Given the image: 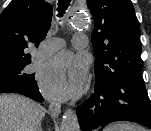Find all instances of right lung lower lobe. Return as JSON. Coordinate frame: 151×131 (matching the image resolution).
Instances as JSON below:
<instances>
[{
  "label": "right lung lower lobe",
  "mask_w": 151,
  "mask_h": 131,
  "mask_svg": "<svg viewBox=\"0 0 151 131\" xmlns=\"http://www.w3.org/2000/svg\"><path fill=\"white\" fill-rule=\"evenodd\" d=\"M5 92L19 93L38 102L44 101L42 95L39 92L34 76L25 78L19 82L11 83L4 81V78H0V93Z\"/></svg>",
  "instance_id": "right-lung-lower-lobe-1"
}]
</instances>
